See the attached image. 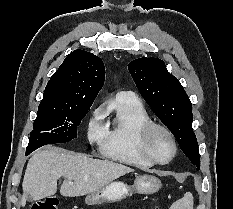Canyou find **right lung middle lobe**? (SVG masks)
I'll use <instances>...</instances> for the list:
<instances>
[{
    "mask_svg": "<svg viewBox=\"0 0 233 209\" xmlns=\"http://www.w3.org/2000/svg\"><path fill=\"white\" fill-rule=\"evenodd\" d=\"M91 105L73 107L59 113H37L34 130L30 134L26 155L35 149L54 143L69 142L77 137V126L80 125Z\"/></svg>",
    "mask_w": 233,
    "mask_h": 209,
    "instance_id": "1",
    "label": "right lung middle lobe"
}]
</instances>
